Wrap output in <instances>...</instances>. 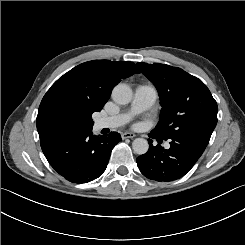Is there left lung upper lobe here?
<instances>
[{
  "instance_id": "obj_1",
  "label": "left lung upper lobe",
  "mask_w": 245,
  "mask_h": 245,
  "mask_svg": "<svg viewBox=\"0 0 245 245\" xmlns=\"http://www.w3.org/2000/svg\"><path fill=\"white\" fill-rule=\"evenodd\" d=\"M155 85L162 106L153 130L163 139L184 138L207 145L217 124V103L207 86L184 70L164 64L138 62Z\"/></svg>"
}]
</instances>
